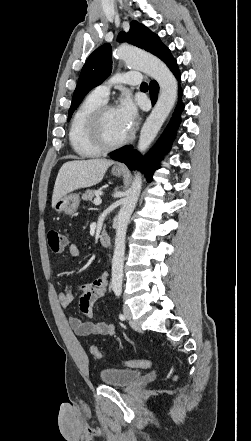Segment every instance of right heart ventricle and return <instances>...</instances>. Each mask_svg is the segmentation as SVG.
<instances>
[{"instance_id": "obj_1", "label": "right heart ventricle", "mask_w": 251, "mask_h": 441, "mask_svg": "<svg viewBox=\"0 0 251 441\" xmlns=\"http://www.w3.org/2000/svg\"><path fill=\"white\" fill-rule=\"evenodd\" d=\"M105 103V100L94 92L88 94L73 114L69 141L73 151L82 158L97 157L102 153L91 140L88 123L91 114L96 108Z\"/></svg>"}]
</instances>
